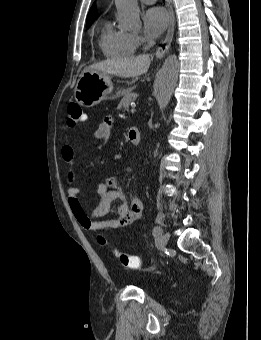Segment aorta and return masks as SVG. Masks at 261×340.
Wrapping results in <instances>:
<instances>
[{
	"label": "aorta",
	"instance_id": "1",
	"mask_svg": "<svg viewBox=\"0 0 261 340\" xmlns=\"http://www.w3.org/2000/svg\"><path fill=\"white\" fill-rule=\"evenodd\" d=\"M117 19L126 28H136L140 25V10L137 0H115ZM179 73V62L175 54L170 55L164 62L158 85V105L163 111L168 105Z\"/></svg>",
	"mask_w": 261,
	"mask_h": 340
}]
</instances>
